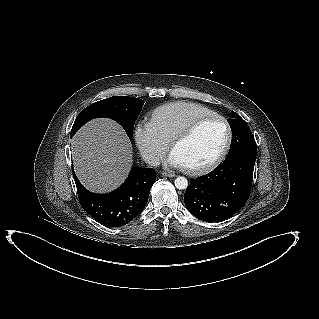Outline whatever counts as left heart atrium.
I'll use <instances>...</instances> for the list:
<instances>
[{
    "label": "left heart atrium",
    "mask_w": 319,
    "mask_h": 319,
    "mask_svg": "<svg viewBox=\"0 0 319 319\" xmlns=\"http://www.w3.org/2000/svg\"><path fill=\"white\" fill-rule=\"evenodd\" d=\"M167 163L171 166H175V167H182V163L179 160V158L172 152L168 159H167Z\"/></svg>",
    "instance_id": "left-heart-atrium-1"
}]
</instances>
